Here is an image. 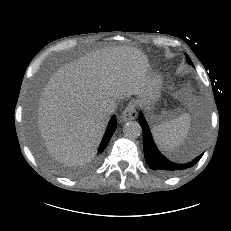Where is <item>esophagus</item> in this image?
<instances>
[{"instance_id":"obj_1","label":"esophagus","mask_w":231,"mask_h":231,"mask_svg":"<svg viewBox=\"0 0 231 231\" xmlns=\"http://www.w3.org/2000/svg\"><path fill=\"white\" fill-rule=\"evenodd\" d=\"M137 117V111L133 103H129L125 109L122 111L120 118L123 122L134 120Z\"/></svg>"}]
</instances>
